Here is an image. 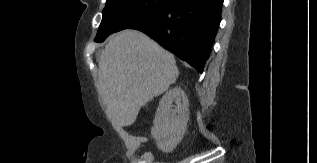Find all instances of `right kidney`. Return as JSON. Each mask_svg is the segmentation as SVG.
<instances>
[{
  "instance_id": "ca27d5eb",
  "label": "right kidney",
  "mask_w": 317,
  "mask_h": 163,
  "mask_svg": "<svg viewBox=\"0 0 317 163\" xmlns=\"http://www.w3.org/2000/svg\"><path fill=\"white\" fill-rule=\"evenodd\" d=\"M188 120L189 102L185 92L180 87L166 92L159 103L151 128L157 147L163 152H172L181 142Z\"/></svg>"
}]
</instances>
